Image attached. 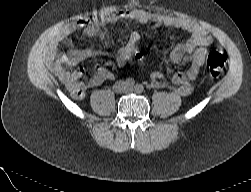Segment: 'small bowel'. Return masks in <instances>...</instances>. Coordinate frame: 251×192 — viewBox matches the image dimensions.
<instances>
[{"mask_svg":"<svg viewBox=\"0 0 251 192\" xmlns=\"http://www.w3.org/2000/svg\"><path fill=\"white\" fill-rule=\"evenodd\" d=\"M119 20H131L141 24L181 29L190 35L186 41L176 43L170 52L172 62L181 63L185 61L190 63L187 71L174 72L171 75V81L176 86L174 92L180 96L188 95L192 90L193 82L199 73L200 67L205 62L206 48L212 42L211 36L199 24L190 19L161 16L143 10H132L119 13L104 11L91 20L66 24L51 36L47 46V54L53 61L52 66L55 73L65 84L71 96L75 99L83 98L87 89L101 85L104 81L111 79L113 74L104 67H98L88 80H80L81 72H69L66 65L76 66L80 64L91 55V52L89 50H78L71 55H63L58 51L59 44L64 42L78 28H82L88 36L102 39V25ZM137 41L138 37H133L126 46L117 52L115 60L118 66L123 67L136 62L138 58ZM103 54H108V52H103ZM163 77V73L159 71L152 72V87H164Z\"/></svg>","mask_w":251,"mask_h":192,"instance_id":"small-bowel-1","label":"small bowel"}]
</instances>
